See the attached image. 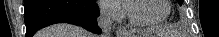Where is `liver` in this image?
<instances>
[{
  "instance_id": "1",
  "label": "liver",
  "mask_w": 219,
  "mask_h": 37,
  "mask_svg": "<svg viewBox=\"0 0 219 37\" xmlns=\"http://www.w3.org/2000/svg\"><path fill=\"white\" fill-rule=\"evenodd\" d=\"M38 37H93L91 33L72 25L57 24L45 28L38 33Z\"/></svg>"
}]
</instances>
